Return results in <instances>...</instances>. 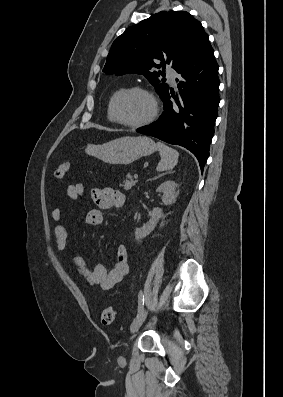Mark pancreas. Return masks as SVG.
<instances>
[{
    "mask_svg": "<svg viewBox=\"0 0 283 397\" xmlns=\"http://www.w3.org/2000/svg\"><path fill=\"white\" fill-rule=\"evenodd\" d=\"M136 184V180H134L131 176H127L121 185L126 191L130 190Z\"/></svg>",
    "mask_w": 283,
    "mask_h": 397,
    "instance_id": "obj_1",
    "label": "pancreas"
}]
</instances>
